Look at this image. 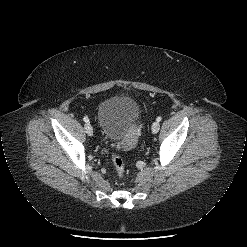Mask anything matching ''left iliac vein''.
Wrapping results in <instances>:
<instances>
[{"mask_svg":"<svg viewBox=\"0 0 247 247\" xmlns=\"http://www.w3.org/2000/svg\"><path fill=\"white\" fill-rule=\"evenodd\" d=\"M152 133L153 134H156L159 129H160V123L158 121H155L153 124H152Z\"/></svg>","mask_w":247,"mask_h":247,"instance_id":"left-iliac-vein-1","label":"left iliac vein"}]
</instances>
